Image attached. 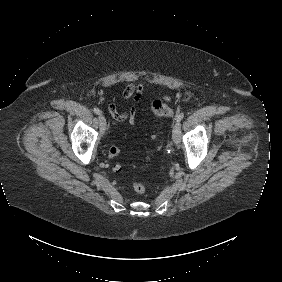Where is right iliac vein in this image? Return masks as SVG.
<instances>
[{
  "label": "right iliac vein",
  "mask_w": 282,
  "mask_h": 282,
  "mask_svg": "<svg viewBox=\"0 0 282 282\" xmlns=\"http://www.w3.org/2000/svg\"><path fill=\"white\" fill-rule=\"evenodd\" d=\"M98 120H99L100 132L101 134H104L106 131V119L102 114H100Z\"/></svg>",
  "instance_id": "right-iliac-vein-1"
}]
</instances>
